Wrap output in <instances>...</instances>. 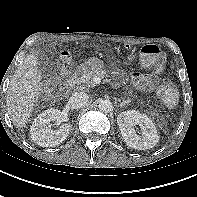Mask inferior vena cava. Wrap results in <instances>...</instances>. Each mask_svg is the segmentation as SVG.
Listing matches in <instances>:
<instances>
[{"mask_svg": "<svg viewBox=\"0 0 197 197\" xmlns=\"http://www.w3.org/2000/svg\"><path fill=\"white\" fill-rule=\"evenodd\" d=\"M89 96L85 92H75L69 98L68 104L72 109H79L86 105Z\"/></svg>", "mask_w": 197, "mask_h": 197, "instance_id": "inferior-vena-cava-1", "label": "inferior vena cava"}]
</instances>
